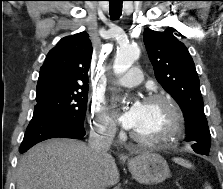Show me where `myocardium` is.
Segmentation results:
<instances>
[{
	"label": "myocardium",
	"instance_id": "1",
	"mask_svg": "<svg viewBox=\"0 0 223 189\" xmlns=\"http://www.w3.org/2000/svg\"><path fill=\"white\" fill-rule=\"evenodd\" d=\"M145 102L164 103L170 113V123L166 129L156 135L145 136L132 131L130 133L132 139L144 144H155L174 138L180 134L184 122L183 113L177 102L169 94L153 93L145 98Z\"/></svg>",
	"mask_w": 223,
	"mask_h": 189
}]
</instances>
